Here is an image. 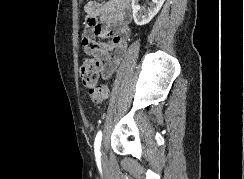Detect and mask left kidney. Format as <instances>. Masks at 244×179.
Masks as SVG:
<instances>
[{"instance_id":"1","label":"left kidney","mask_w":244,"mask_h":179,"mask_svg":"<svg viewBox=\"0 0 244 179\" xmlns=\"http://www.w3.org/2000/svg\"><path fill=\"white\" fill-rule=\"evenodd\" d=\"M165 0H152L150 4V8L148 10H142L140 8L139 0H132V14L133 20L137 26H145V24H149L152 18L158 14L159 10H161Z\"/></svg>"}]
</instances>
